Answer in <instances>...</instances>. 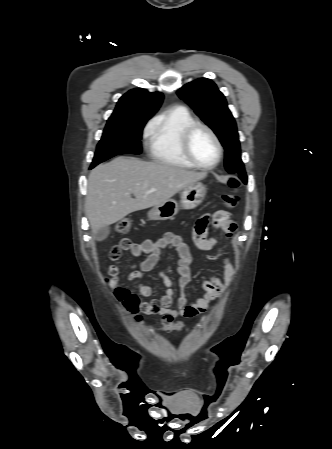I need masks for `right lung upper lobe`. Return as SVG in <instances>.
I'll return each instance as SVG.
<instances>
[{
  "mask_svg": "<svg viewBox=\"0 0 332 449\" xmlns=\"http://www.w3.org/2000/svg\"><path fill=\"white\" fill-rule=\"evenodd\" d=\"M163 100L160 92L150 93L145 89H133L124 94L109 119L124 117H152Z\"/></svg>",
  "mask_w": 332,
  "mask_h": 449,
  "instance_id": "cb5924a9",
  "label": "right lung upper lobe"
}]
</instances>
